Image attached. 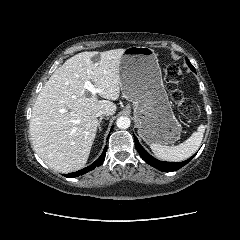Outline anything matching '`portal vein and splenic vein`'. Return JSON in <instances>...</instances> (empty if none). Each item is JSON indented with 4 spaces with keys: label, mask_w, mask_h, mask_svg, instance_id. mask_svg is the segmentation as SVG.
Wrapping results in <instances>:
<instances>
[{
    "label": "portal vein and splenic vein",
    "mask_w": 240,
    "mask_h": 240,
    "mask_svg": "<svg viewBox=\"0 0 240 240\" xmlns=\"http://www.w3.org/2000/svg\"><path fill=\"white\" fill-rule=\"evenodd\" d=\"M85 89L91 92L92 95H95L96 93H100L102 91L101 89L95 88L90 81L85 82Z\"/></svg>",
    "instance_id": "obj_1"
}]
</instances>
